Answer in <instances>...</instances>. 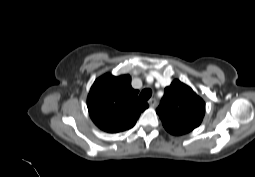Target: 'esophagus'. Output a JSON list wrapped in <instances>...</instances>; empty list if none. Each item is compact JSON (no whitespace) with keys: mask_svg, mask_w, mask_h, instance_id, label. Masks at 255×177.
Listing matches in <instances>:
<instances>
[{"mask_svg":"<svg viewBox=\"0 0 255 177\" xmlns=\"http://www.w3.org/2000/svg\"><path fill=\"white\" fill-rule=\"evenodd\" d=\"M148 103H149V105L151 106V107H155L156 105H157V100L156 99H150L149 101H148Z\"/></svg>","mask_w":255,"mask_h":177,"instance_id":"esophagus-1","label":"esophagus"}]
</instances>
